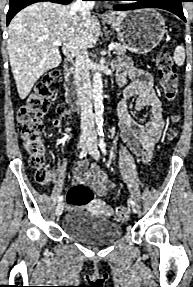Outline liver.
Instances as JSON below:
<instances>
[{
  "label": "liver",
  "mask_w": 193,
  "mask_h": 287,
  "mask_svg": "<svg viewBox=\"0 0 193 287\" xmlns=\"http://www.w3.org/2000/svg\"><path fill=\"white\" fill-rule=\"evenodd\" d=\"M100 29L96 16L83 19L71 5L39 2L21 10L8 27V53L19 97L25 99L36 81L61 63L56 41H61L63 54L71 59L81 47H94Z\"/></svg>",
  "instance_id": "6515ba94"
}]
</instances>
